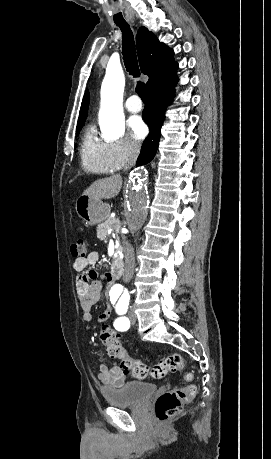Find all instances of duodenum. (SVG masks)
<instances>
[{"mask_svg":"<svg viewBox=\"0 0 271 459\" xmlns=\"http://www.w3.org/2000/svg\"><path fill=\"white\" fill-rule=\"evenodd\" d=\"M124 271V265L120 260H116L111 268V279L117 281L121 278Z\"/></svg>","mask_w":271,"mask_h":459,"instance_id":"obj_1","label":"duodenum"}]
</instances>
